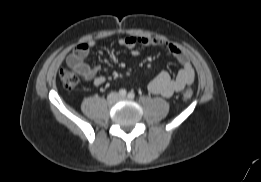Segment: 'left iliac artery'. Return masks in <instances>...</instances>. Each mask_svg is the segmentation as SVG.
I'll return each mask as SVG.
<instances>
[{
	"label": "left iliac artery",
	"mask_w": 261,
	"mask_h": 182,
	"mask_svg": "<svg viewBox=\"0 0 261 182\" xmlns=\"http://www.w3.org/2000/svg\"><path fill=\"white\" fill-rule=\"evenodd\" d=\"M134 97H135L134 92H129L128 93V98L133 99Z\"/></svg>",
	"instance_id": "1"
}]
</instances>
